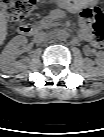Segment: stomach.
Returning a JSON list of instances; mask_svg holds the SVG:
<instances>
[{"label":"stomach","instance_id":"1","mask_svg":"<svg viewBox=\"0 0 104 137\" xmlns=\"http://www.w3.org/2000/svg\"><path fill=\"white\" fill-rule=\"evenodd\" d=\"M56 2L69 10L82 7V0H56Z\"/></svg>","mask_w":104,"mask_h":137}]
</instances>
